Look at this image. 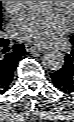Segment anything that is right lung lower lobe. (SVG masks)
<instances>
[{"instance_id":"right-lung-lower-lobe-1","label":"right lung lower lobe","mask_w":74,"mask_h":122,"mask_svg":"<svg viewBox=\"0 0 74 122\" xmlns=\"http://www.w3.org/2000/svg\"><path fill=\"white\" fill-rule=\"evenodd\" d=\"M7 45L8 40L0 38V93L9 89L18 60L26 53L23 44Z\"/></svg>"}]
</instances>
